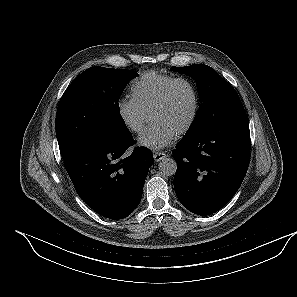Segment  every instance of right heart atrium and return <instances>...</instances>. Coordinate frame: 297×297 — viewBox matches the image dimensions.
Instances as JSON below:
<instances>
[{"label": "right heart atrium", "instance_id": "obj_1", "mask_svg": "<svg viewBox=\"0 0 297 297\" xmlns=\"http://www.w3.org/2000/svg\"><path fill=\"white\" fill-rule=\"evenodd\" d=\"M117 115L123 126L134 134H140L147 121V113L132 97H121L117 101Z\"/></svg>", "mask_w": 297, "mask_h": 297}]
</instances>
